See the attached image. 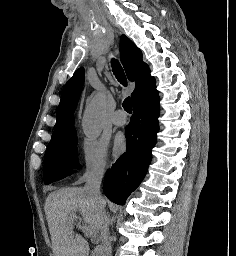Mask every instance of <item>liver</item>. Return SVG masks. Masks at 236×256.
<instances>
[{
	"label": "liver",
	"mask_w": 236,
	"mask_h": 256,
	"mask_svg": "<svg viewBox=\"0 0 236 256\" xmlns=\"http://www.w3.org/2000/svg\"><path fill=\"white\" fill-rule=\"evenodd\" d=\"M44 210L54 256H88V242L80 234L74 236L72 216L79 210L84 222L98 232L105 220V212H100L98 204L82 188H63L49 194Z\"/></svg>",
	"instance_id": "obj_1"
}]
</instances>
